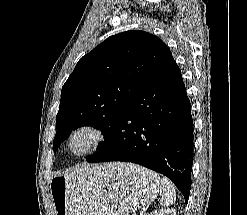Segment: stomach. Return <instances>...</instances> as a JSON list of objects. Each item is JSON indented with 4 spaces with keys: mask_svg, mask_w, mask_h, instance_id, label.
<instances>
[{
    "mask_svg": "<svg viewBox=\"0 0 247 215\" xmlns=\"http://www.w3.org/2000/svg\"><path fill=\"white\" fill-rule=\"evenodd\" d=\"M88 166L50 181L55 215H128L153 201L158 175L127 163Z\"/></svg>",
    "mask_w": 247,
    "mask_h": 215,
    "instance_id": "1",
    "label": "stomach"
}]
</instances>
